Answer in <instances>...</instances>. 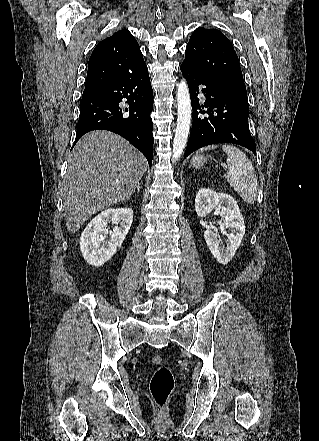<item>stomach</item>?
Returning a JSON list of instances; mask_svg holds the SVG:
<instances>
[{
  "instance_id": "0dacf381",
  "label": "stomach",
  "mask_w": 319,
  "mask_h": 441,
  "mask_svg": "<svg viewBox=\"0 0 319 441\" xmlns=\"http://www.w3.org/2000/svg\"><path fill=\"white\" fill-rule=\"evenodd\" d=\"M206 162V158L200 155H195L191 160V166L199 168Z\"/></svg>"
}]
</instances>
